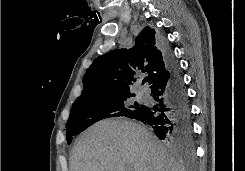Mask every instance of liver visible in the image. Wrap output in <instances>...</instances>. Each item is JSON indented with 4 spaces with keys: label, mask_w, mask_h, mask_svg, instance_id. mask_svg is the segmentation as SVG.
<instances>
[{
    "label": "liver",
    "mask_w": 245,
    "mask_h": 171,
    "mask_svg": "<svg viewBox=\"0 0 245 171\" xmlns=\"http://www.w3.org/2000/svg\"><path fill=\"white\" fill-rule=\"evenodd\" d=\"M70 171H185L151 132L128 120L108 119L77 139Z\"/></svg>",
    "instance_id": "1"
}]
</instances>
